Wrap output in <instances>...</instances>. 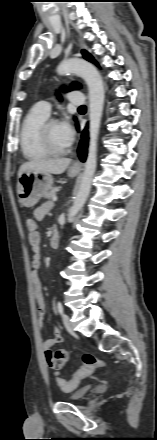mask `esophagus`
I'll return each mask as SVG.
<instances>
[{
    "instance_id": "34e87169",
    "label": "esophagus",
    "mask_w": 157,
    "mask_h": 440,
    "mask_svg": "<svg viewBox=\"0 0 157 440\" xmlns=\"http://www.w3.org/2000/svg\"><path fill=\"white\" fill-rule=\"evenodd\" d=\"M72 168L74 169H80L81 168V163L79 161H76L72 164Z\"/></svg>"
}]
</instances>
